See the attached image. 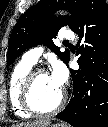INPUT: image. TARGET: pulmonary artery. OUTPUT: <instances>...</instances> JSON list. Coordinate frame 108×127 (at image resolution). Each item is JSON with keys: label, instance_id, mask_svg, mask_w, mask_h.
I'll use <instances>...</instances> for the list:
<instances>
[{"label": "pulmonary artery", "instance_id": "1", "mask_svg": "<svg viewBox=\"0 0 108 127\" xmlns=\"http://www.w3.org/2000/svg\"><path fill=\"white\" fill-rule=\"evenodd\" d=\"M74 34L70 30H63L61 33V38L68 40H73L74 39ZM43 52V48L41 46L32 48L28 50L24 55H23V60L29 64H36L38 61L39 57L41 56Z\"/></svg>", "mask_w": 108, "mask_h": 127}]
</instances>
